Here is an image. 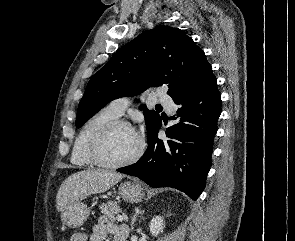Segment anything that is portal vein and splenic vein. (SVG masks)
<instances>
[{
  "label": "portal vein and splenic vein",
  "mask_w": 295,
  "mask_h": 241,
  "mask_svg": "<svg viewBox=\"0 0 295 241\" xmlns=\"http://www.w3.org/2000/svg\"><path fill=\"white\" fill-rule=\"evenodd\" d=\"M116 219L117 221L122 222L124 218L121 215H117Z\"/></svg>",
  "instance_id": "obj_1"
}]
</instances>
